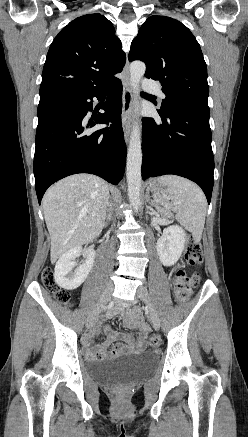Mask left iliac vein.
<instances>
[{
	"mask_svg": "<svg viewBox=\"0 0 248 437\" xmlns=\"http://www.w3.org/2000/svg\"><path fill=\"white\" fill-rule=\"evenodd\" d=\"M137 298L141 299L143 302H145L148 306L149 315L151 323L155 330H159L160 328V319L157 313V310L151 300V297L149 295V292L145 286L138 287L136 291Z\"/></svg>",
	"mask_w": 248,
	"mask_h": 437,
	"instance_id": "obj_1",
	"label": "left iliac vein"
}]
</instances>
